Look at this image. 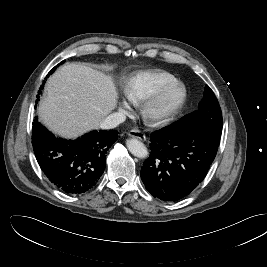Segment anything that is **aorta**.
<instances>
[{
  "instance_id": "aorta-1",
  "label": "aorta",
  "mask_w": 267,
  "mask_h": 267,
  "mask_svg": "<svg viewBox=\"0 0 267 267\" xmlns=\"http://www.w3.org/2000/svg\"><path fill=\"white\" fill-rule=\"evenodd\" d=\"M126 146L128 150L138 158H145L148 155L146 146L137 139H128L126 141Z\"/></svg>"
}]
</instances>
